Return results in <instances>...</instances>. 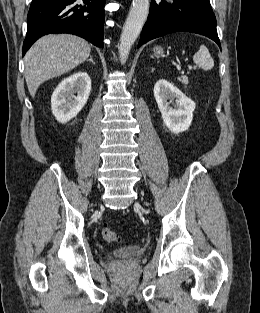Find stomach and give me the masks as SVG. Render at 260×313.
I'll return each mask as SVG.
<instances>
[{
    "label": "stomach",
    "mask_w": 260,
    "mask_h": 313,
    "mask_svg": "<svg viewBox=\"0 0 260 313\" xmlns=\"http://www.w3.org/2000/svg\"><path fill=\"white\" fill-rule=\"evenodd\" d=\"M155 55H163V49L161 47H157L155 50Z\"/></svg>",
    "instance_id": "1"
}]
</instances>
